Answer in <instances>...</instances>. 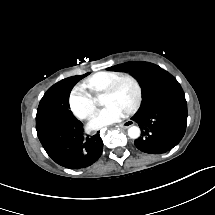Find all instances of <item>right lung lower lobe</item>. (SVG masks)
Instances as JSON below:
<instances>
[{"label":"right lung lower lobe","instance_id":"98d812e1","mask_svg":"<svg viewBox=\"0 0 215 215\" xmlns=\"http://www.w3.org/2000/svg\"><path fill=\"white\" fill-rule=\"evenodd\" d=\"M36 130L49 157L65 168H87L102 154L103 142L99 132L91 137H84L81 122L49 124L36 127Z\"/></svg>","mask_w":215,"mask_h":215}]
</instances>
